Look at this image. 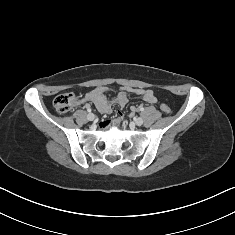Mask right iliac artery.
Wrapping results in <instances>:
<instances>
[{
  "instance_id": "82829eb1",
  "label": "right iliac artery",
  "mask_w": 235,
  "mask_h": 235,
  "mask_svg": "<svg viewBox=\"0 0 235 235\" xmlns=\"http://www.w3.org/2000/svg\"><path fill=\"white\" fill-rule=\"evenodd\" d=\"M87 111L90 113V112H91V109H90V108H88V109H87Z\"/></svg>"
}]
</instances>
